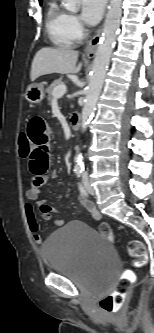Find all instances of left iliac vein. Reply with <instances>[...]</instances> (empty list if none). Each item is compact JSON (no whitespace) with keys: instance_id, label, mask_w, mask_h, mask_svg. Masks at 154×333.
<instances>
[{"instance_id":"left-iliac-vein-1","label":"left iliac vein","mask_w":154,"mask_h":333,"mask_svg":"<svg viewBox=\"0 0 154 333\" xmlns=\"http://www.w3.org/2000/svg\"><path fill=\"white\" fill-rule=\"evenodd\" d=\"M82 180H83V183H84V186H85L87 192H88L89 194H91V195H94V194H95V190H94V188L91 186L88 177H87L86 175H84V176L82 177Z\"/></svg>"}]
</instances>
